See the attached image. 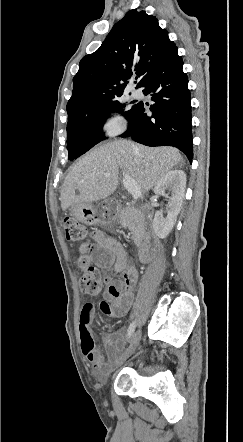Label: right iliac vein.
<instances>
[{"label": "right iliac vein", "mask_w": 243, "mask_h": 442, "mask_svg": "<svg viewBox=\"0 0 243 442\" xmlns=\"http://www.w3.org/2000/svg\"><path fill=\"white\" fill-rule=\"evenodd\" d=\"M141 339V330H137L131 337V341H130V345L127 348V350L123 353V355L121 356V358L119 359V363H122L123 361H125L127 358H129L131 356V354L134 352V350L136 349L139 341Z\"/></svg>", "instance_id": "obj_1"}]
</instances>
